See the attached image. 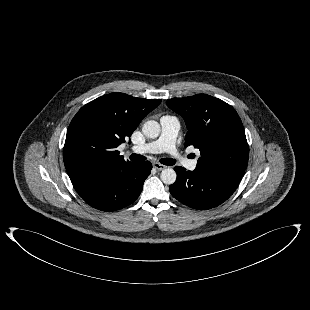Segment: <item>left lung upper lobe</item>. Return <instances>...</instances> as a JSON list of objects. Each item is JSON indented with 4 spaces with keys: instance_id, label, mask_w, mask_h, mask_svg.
Segmentation results:
<instances>
[{
    "instance_id": "1",
    "label": "left lung upper lobe",
    "mask_w": 310,
    "mask_h": 310,
    "mask_svg": "<svg viewBox=\"0 0 310 310\" xmlns=\"http://www.w3.org/2000/svg\"><path fill=\"white\" fill-rule=\"evenodd\" d=\"M166 104L185 120V146L200 150L196 169L240 181L248 164L249 147L235 109L206 94L172 98Z\"/></svg>"
}]
</instances>
